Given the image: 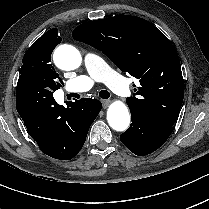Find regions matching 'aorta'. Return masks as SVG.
<instances>
[{
    "instance_id": "1",
    "label": "aorta",
    "mask_w": 209,
    "mask_h": 209,
    "mask_svg": "<svg viewBox=\"0 0 209 209\" xmlns=\"http://www.w3.org/2000/svg\"><path fill=\"white\" fill-rule=\"evenodd\" d=\"M54 62L60 69H77L82 57L77 48L64 44L56 48ZM107 120L110 127L116 131H125L130 124V115L127 106L121 101H114L107 110Z\"/></svg>"
}]
</instances>
